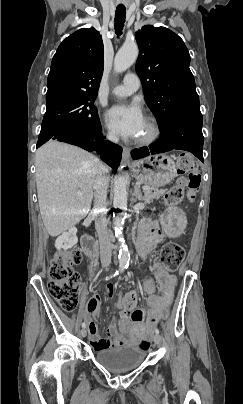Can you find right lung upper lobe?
<instances>
[{
	"label": "right lung upper lobe",
	"instance_id": "cb5924a9",
	"mask_svg": "<svg viewBox=\"0 0 243 404\" xmlns=\"http://www.w3.org/2000/svg\"><path fill=\"white\" fill-rule=\"evenodd\" d=\"M102 37L94 28H82L58 47L48 75L46 104L96 97L104 68Z\"/></svg>",
	"mask_w": 243,
	"mask_h": 404
}]
</instances>
